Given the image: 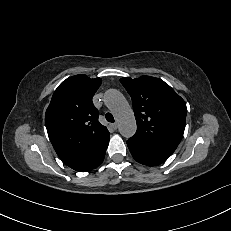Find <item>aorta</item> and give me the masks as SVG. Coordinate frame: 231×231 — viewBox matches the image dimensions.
<instances>
[{
  "mask_svg": "<svg viewBox=\"0 0 231 231\" xmlns=\"http://www.w3.org/2000/svg\"><path fill=\"white\" fill-rule=\"evenodd\" d=\"M104 102L115 115L120 134L125 138L132 137L137 129L135 116L122 93L115 89L107 90Z\"/></svg>",
  "mask_w": 231,
  "mask_h": 231,
  "instance_id": "762f6f07",
  "label": "aorta"
}]
</instances>
